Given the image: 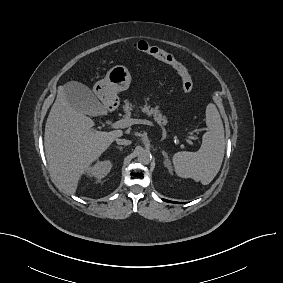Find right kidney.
Segmentation results:
<instances>
[{"label":"right kidney","mask_w":283,"mask_h":283,"mask_svg":"<svg viewBox=\"0 0 283 283\" xmlns=\"http://www.w3.org/2000/svg\"><path fill=\"white\" fill-rule=\"evenodd\" d=\"M112 163L110 160L97 161L92 167H89L86 172L89 177L102 179L110 172Z\"/></svg>","instance_id":"right-kidney-1"}]
</instances>
